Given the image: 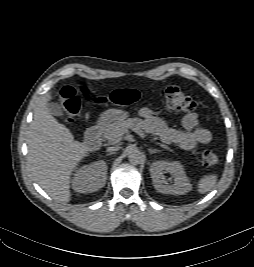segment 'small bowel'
Segmentation results:
<instances>
[{
  "label": "small bowel",
  "instance_id": "small-bowel-1",
  "mask_svg": "<svg viewBox=\"0 0 254 267\" xmlns=\"http://www.w3.org/2000/svg\"><path fill=\"white\" fill-rule=\"evenodd\" d=\"M139 115L144 119L147 128L162 142L167 144H177L184 150H193L197 145L208 144L212 140V134L208 129L199 127L197 115L187 114L182 119L184 131L168 127L163 121L153 115L149 108H142Z\"/></svg>",
  "mask_w": 254,
  "mask_h": 267
}]
</instances>
